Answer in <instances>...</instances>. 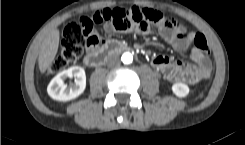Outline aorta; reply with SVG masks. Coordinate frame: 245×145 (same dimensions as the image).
Listing matches in <instances>:
<instances>
[{
  "instance_id": "1",
  "label": "aorta",
  "mask_w": 245,
  "mask_h": 145,
  "mask_svg": "<svg viewBox=\"0 0 245 145\" xmlns=\"http://www.w3.org/2000/svg\"><path fill=\"white\" fill-rule=\"evenodd\" d=\"M121 60H122V62H123L124 64H130V63H132V61H133V56H132L131 53L125 52V53L122 54Z\"/></svg>"
}]
</instances>
